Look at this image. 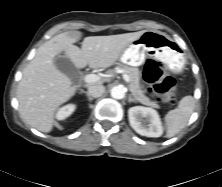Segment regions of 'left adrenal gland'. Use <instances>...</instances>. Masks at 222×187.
Masks as SVG:
<instances>
[{"label": "left adrenal gland", "mask_w": 222, "mask_h": 187, "mask_svg": "<svg viewBox=\"0 0 222 187\" xmlns=\"http://www.w3.org/2000/svg\"><path fill=\"white\" fill-rule=\"evenodd\" d=\"M128 102H135V103H137V101L132 97L131 94L129 95Z\"/></svg>", "instance_id": "a2214340"}]
</instances>
